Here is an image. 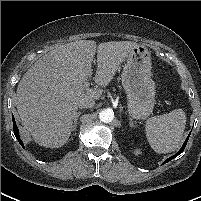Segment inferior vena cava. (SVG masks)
<instances>
[{
  "label": "inferior vena cava",
  "instance_id": "1",
  "mask_svg": "<svg viewBox=\"0 0 201 201\" xmlns=\"http://www.w3.org/2000/svg\"><path fill=\"white\" fill-rule=\"evenodd\" d=\"M95 105V101L91 98H83L79 101L78 107L83 108H92Z\"/></svg>",
  "mask_w": 201,
  "mask_h": 201
}]
</instances>
